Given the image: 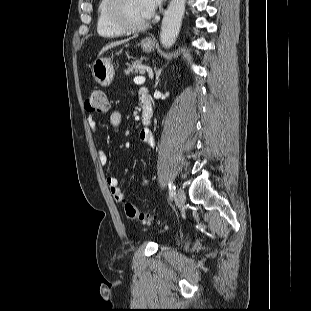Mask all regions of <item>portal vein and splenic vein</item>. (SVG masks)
<instances>
[{"instance_id":"obj_1","label":"portal vein and splenic vein","mask_w":311,"mask_h":311,"mask_svg":"<svg viewBox=\"0 0 311 311\" xmlns=\"http://www.w3.org/2000/svg\"><path fill=\"white\" fill-rule=\"evenodd\" d=\"M145 82V77L143 76H137L134 78V83L137 85H141Z\"/></svg>"}]
</instances>
